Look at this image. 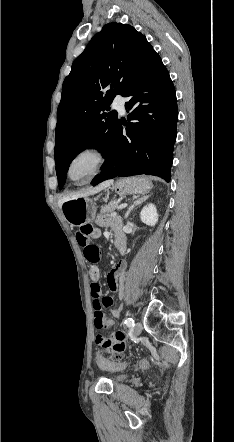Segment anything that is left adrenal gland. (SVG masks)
Segmentation results:
<instances>
[{
    "label": "left adrenal gland",
    "instance_id": "1",
    "mask_svg": "<svg viewBox=\"0 0 234 442\" xmlns=\"http://www.w3.org/2000/svg\"><path fill=\"white\" fill-rule=\"evenodd\" d=\"M149 196H150V195L143 196V197H141V198L135 200V201L133 202V204H132L131 206H129V208H128V210H127V212H126L124 218L127 219L128 216H129V214H130V212H131L136 206H138L139 204H141L142 202H144L145 200H147V199L149 198Z\"/></svg>",
    "mask_w": 234,
    "mask_h": 442
}]
</instances>
